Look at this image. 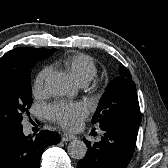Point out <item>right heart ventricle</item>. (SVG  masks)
<instances>
[{"instance_id":"right-heart-ventricle-1","label":"right heart ventricle","mask_w":168,"mask_h":168,"mask_svg":"<svg viewBox=\"0 0 168 168\" xmlns=\"http://www.w3.org/2000/svg\"><path fill=\"white\" fill-rule=\"evenodd\" d=\"M63 66L79 83H88L97 73L93 58L87 54L75 53L63 59Z\"/></svg>"}]
</instances>
